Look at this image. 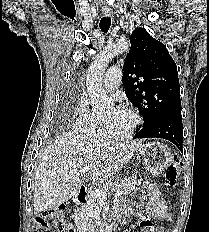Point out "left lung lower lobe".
Returning <instances> with one entry per match:
<instances>
[{"mask_svg":"<svg viewBox=\"0 0 209 232\" xmlns=\"http://www.w3.org/2000/svg\"><path fill=\"white\" fill-rule=\"evenodd\" d=\"M134 138H162L172 142L181 152H183V126L181 111L162 117L147 129L138 130Z\"/></svg>","mask_w":209,"mask_h":232,"instance_id":"obj_1","label":"left lung lower lobe"}]
</instances>
